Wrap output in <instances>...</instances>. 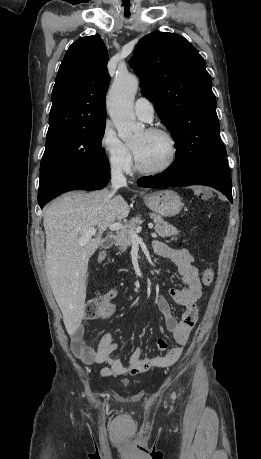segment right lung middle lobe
<instances>
[{"label":"right lung middle lobe","instance_id":"obj_1","mask_svg":"<svg viewBox=\"0 0 261 459\" xmlns=\"http://www.w3.org/2000/svg\"><path fill=\"white\" fill-rule=\"evenodd\" d=\"M106 121L94 126L47 134L40 165L38 197L57 181L82 172H108L109 161L101 140Z\"/></svg>","mask_w":261,"mask_h":459}]
</instances>
